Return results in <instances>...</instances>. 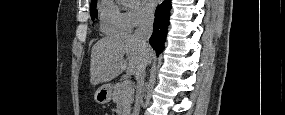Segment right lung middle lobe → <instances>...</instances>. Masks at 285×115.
Listing matches in <instances>:
<instances>
[{
  "instance_id": "1",
  "label": "right lung middle lobe",
  "mask_w": 285,
  "mask_h": 115,
  "mask_svg": "<svg viewBox=\"0 0 285 115\" xmlns=\"http://www.w3.org/2000/svg\"><path fill=\"white\" fill-rule=\"evenodd\" d=\"M96 3H97V0H95L94 2H91L90 13H91L92 19L97 17Z\"/></svg>"
}]
</instances>
